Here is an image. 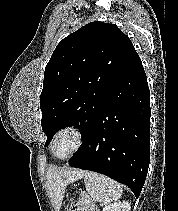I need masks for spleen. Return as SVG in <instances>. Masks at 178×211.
<instances>
[{
	"mask_svg": "<svg viewBox=\"0 0 178 211\" xmlns=\"http://www.w3.org/2000/svg\"><path fill=\"white\" fill-rule=\"evenodd\" d=\"M84 182L87 192L93 200L108 204L117 201L122 196L120 185L113 179L96 172H84Z\"/></svg>",
	"mask_w": 178,
	"mask_h": 211,
	"instance_id": "spleen-1",
	"label": "spleen"
}]
</instances>
